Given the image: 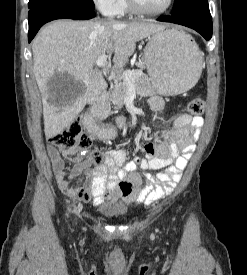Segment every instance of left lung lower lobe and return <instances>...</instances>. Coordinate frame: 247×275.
Instances as JSON below:
<instances>
[{
    "label": "left lung lower lobe",
    "instance_id": "left-lung-lower-lobe-1",
    "mask_svg": "<svg viewBox=\"0 0 247 275\" xmlns=\"http://www.w3.org/2000/svg\"><path fill=\"white\" fill-rule=\"evenodd\" d=\"M157 20L192 28L200 33L207 41L210 40L212 36V18L209 9L197 10L178 16H164Z\"/></svg>",
    "mask_w": 247,
    "mask_h": 275
}]
</instances>
